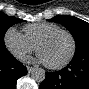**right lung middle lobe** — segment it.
I'll return each instance as SVG.
<instances>
[{"label": "right lung middle lobe", "instance_id": "obj_1", "mask_svg": "<svg viewBox=\"0 0 89 89\" xmlns=\"http://www.w3.org/2000/svg\"><path fill=\"white\" fill-rule=\"evenodd\" d=\"M22 19H18L15 17L7 16L6 14L0 12V51L5 50L4 44V35L5 32L10 28L12 25L22 22Z\"/></svg>", "mask_w": 89, "mask_h": 89}]
</instances>
